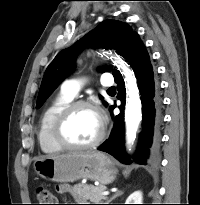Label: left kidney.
Returning a JSON list of instances; mask_svg holds the SVG:
<instances>
[{
	"mask_svg": "<svg viewBox=\"0 0 200 205\" xmlns=\"http://www.w3.org/2000/svg\"><path fill=\"white\" fill-rule=\"evenodd\" d=\"M143 196L141 191L133 192L126 200L125 204H142Z\"/></svg>",
	"mask_w": 200,
	"mask_h": 205,
	"instance_id": "1",
	"label": "left kidney"
}]
</instances>
